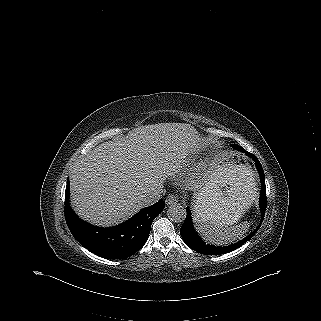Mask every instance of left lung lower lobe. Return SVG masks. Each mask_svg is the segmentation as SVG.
Returning <instances> with one entry per match:
<instances>
[{
	"label": "left lung lower lobe",
	"instance_id": "1",
	"mask_svg": "<svg viewBox=\"0 0 321 321\" xmlns=\"http://www.w3.org/2000/svg\"><path fill=\"white\" fill-rule=\"evenodd\" d=\"M238 151L244 152L246 155H248L250 158L253 159V161L256 163V168L259 172L260 179H261V193H260V208H261V213H262V220L264 219V214L267 206V198H266V185H265V177H264V171L263 168L259 162V160L252 154L247 152L245 149L242 147L237 148ZM187 216L186 219L180 229V234L182 236V239L184 242L193 250L206 254V255H220V254H225L228 252H231L241 245H243L245 242H247L249 239H251L255 233L257 232L258 228L260 227L261 223L259 226L247 237H245L243 240H241L238 243L232 244L230 246H224V247H219V246H212L206 244L196 233L194 230L193 224H192V219H191V212L190 209L187 207L186 208ZM262 222V221H261Z\"/></svg>",
	"mask_w": 321,
	"mask_h": 321
}]
</instances>
